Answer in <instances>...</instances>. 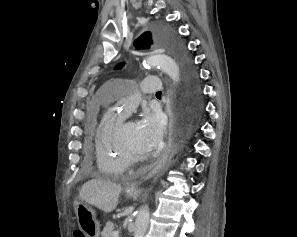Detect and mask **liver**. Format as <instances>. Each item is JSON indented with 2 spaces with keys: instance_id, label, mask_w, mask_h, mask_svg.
Here are the masks:
<instances>
[{
  "instance_id": "liver-1",
  "label": "liver",
  "mask_w": 297,
  "mask_h": 237,
  "mask_svg": "<svg viewBox=\"0 0 297 237\" xmlns=\"http://www.w3.org/2000/svg\"><path fill=\"white\" fill-rule=\"evenodd\" d=\"M121 191L119 184L95 178L82 186L79 197L82 201L109 213L117 207Z\"/></svg>"
}]
</instances>
